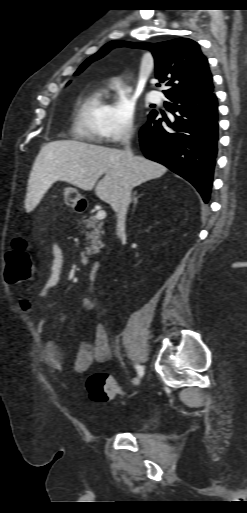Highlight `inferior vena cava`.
Instances as JSON below:
<instances>
[{
	"label": "inferior vena cava",
	"instance_id": "1",
	"mask_svg": "<svg viewBox=\"0 0 247 513\" xmlns=\"http://www.w3.org/2000/svg\"><path fill=\"white\" fill-rule=\"evenodd\" d=\"M130 139L131 133H126L122 138V144L125 145V152L128 157L129 165L132 159ZM131 190L132 187L129 183H123L119 189L116 199L111 203L113 210L117 213L118 235L121 237L124 235L125 216L131 200Z\"/></svg>",
	"mask_w": 247,
	"mask_h": 513
}]
</instances>
